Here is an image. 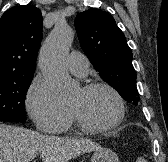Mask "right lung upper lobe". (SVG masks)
<instances>
[{
    "mask_svg": "<svg viewBox=\"0 0 168 162\" xmlns=\"http://www.w3.org/2000/svg\"><path fill=\"white\" fill-rule=\"evenodd\" d=\"M42 39V14L33 5L15 6L0 19V80L35 71Z\"/></svg>",
    "mask_w": 168,
    "mask_h": 162,
    "instance_id": "1",
    "label": "right lung upper lobe"
}]
</instances>
